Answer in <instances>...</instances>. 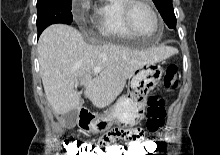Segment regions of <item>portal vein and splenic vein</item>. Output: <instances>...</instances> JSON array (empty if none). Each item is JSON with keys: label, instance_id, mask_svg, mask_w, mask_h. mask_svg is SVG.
Here are the masks:
<instances>
[{"label": "portal vein and splenic vein", "instance_id": "18ae733b", "mask_svg": "<svg viewBox=\"0 0 220 155\" xmlns=\"http://www.w3.org/2000/svg\"><path fill=\"white\" fill-rule=\"evenodd\" d=\"M102 68L100 67H95L93 70H92V74L94 75H97L101 72Z\"/></svg>", "mask_w": 220, "mask_h": 155}]
</instances>
